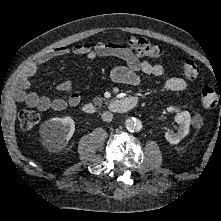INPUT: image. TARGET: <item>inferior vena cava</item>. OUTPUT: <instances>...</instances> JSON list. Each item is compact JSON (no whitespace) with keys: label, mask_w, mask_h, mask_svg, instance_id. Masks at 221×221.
Returning <instances> with one entry per match:
<instances>
[{"label":"inferior vena cava","mask_w":221,"mask_h":221,"mask_svg":"<svg viewBox=\"0 0 221 221\" xmlns=\"http://www.w3.org/2000/svg\"><path fill=\"white\" fill-rule=\"evenodd\" d=\"M101 118L105 122H111L113 120V114L109 111H105L101 114Z\"/></svg>","instance_id":"1"}]
</instances>
